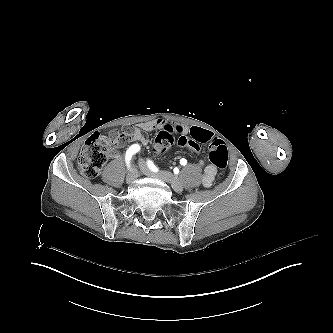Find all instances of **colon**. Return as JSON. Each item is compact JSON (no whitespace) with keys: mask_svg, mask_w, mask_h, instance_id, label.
<instances>
[{"mask_svg":"<svg viewBox=\"0 0 333 333\" xmlns=\"http://www.w3.org/2000/svg\"><path fill=\"white\" fill-rule=\"evenodd\" d=\"M187 127L188 132L186 134H179L184 131L180 123L176 125L168 124L157 132L152 150L166 152L174 144L175 148L180 149L187 145L194 153H201L204 146L210 145L208 155L210 162L218 169H225L228 164V150L224 141L215 138L213 132L195 126ZM134 133V128L128 126L122 129H109L106 137L91 136L85 142L79 157L81 172L89 178L98 176L107 160L111 147H121L122 144L130 140Z\"/></svg>","mask_w":333,"mask_h":333,"instance_id":"colon-1","label":"colon"}]
</instances>
